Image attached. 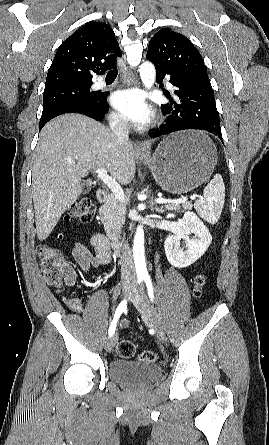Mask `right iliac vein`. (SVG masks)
<instances>
[{
	"label": "right iliac vein",
	"instance_id": "63e3f726",
	"mask_svg": "<svg viewBox=\"0 0 269 445\" xmlns=\"http://www.w3.org/2000/svg\"><path fill=\"white\" fill-rule=\"evenodd\" d=\"M133 294V289L131 287H126L123 291L124 298H129ZM117 334L112 335L106 342V351H111L117 342Z\"/></svg>",
	"mask_w": 269,
	"mask_h": 445
}]
</instances>
